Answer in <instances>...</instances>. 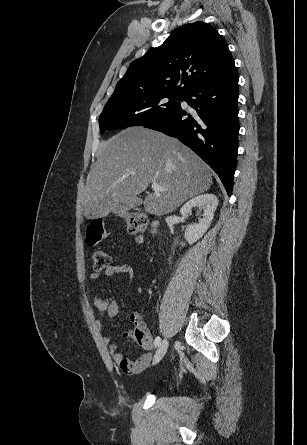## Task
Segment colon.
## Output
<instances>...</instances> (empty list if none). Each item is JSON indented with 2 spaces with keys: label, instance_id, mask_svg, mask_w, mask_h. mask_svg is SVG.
<instances>
[{
  "label": "colon",
  "instance_id": "obj_1",
  "mask_svg": "<svg viewBox=\"0 0 307 445\" xmlns=\"http://www.w3.org/2000/svg\"><path fill=\"white\" fill-rule=\"evenodd\" d=\"M127 230L130 234L142 240L147 229V219L144 215L137 212H128L123 214ZM108 236L105 229V224L102 219L92 220L86 228V244L90 247H95L102 240ZM93 267L96 271H101L111 265L110 256L103 250H95L92 253ZM135 324V330L132 334L133 339L141 346H148L151 343V336L143 324L142 318L139 314L132 316Z\"/></svg>",
  "mask_w": 307,
  "mask_h": 445
}]
</instances>
